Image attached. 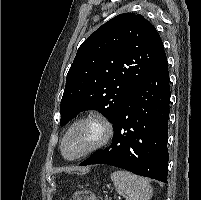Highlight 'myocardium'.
<instances>
[{"mask_svg": "<svg viewBox=\"0 0 201 200\" xmlns=\"http://www.w3.org/2000/svg\"><path fill=\"white\" fill-rule=\"evenodd\" d=\"M82 124H93L99 128L100 135L98 139L94 142L92 146H90L87 150L82 152L81 154L75 156V157H67L65 154V143L69 136V134L79 125ZM114 136V127L110 120L99 113H90L87 114L79 119H77L75 122L71 124V126L67 129L66 133L64 134V137L61 142V153L63 157L68 161H76L81 158H84L88 156L91 153H94L105 146H107L112 138Z\"/></svg>", "mask_w": 201, "mask_h": 200, "instance_id": "1", "label": "myocardium"}]
</instances>
